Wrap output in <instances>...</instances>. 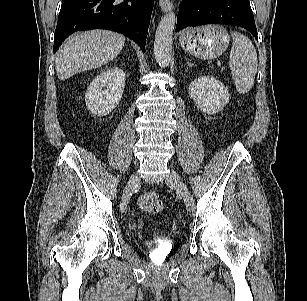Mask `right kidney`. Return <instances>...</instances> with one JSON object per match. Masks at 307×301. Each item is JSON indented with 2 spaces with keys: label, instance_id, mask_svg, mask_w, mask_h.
<instances>
[{
  "label": "right kidney",
  "instance_id": "1",
  "mask_svg": "<svg viewBox=\"0 0 307 301\" xmlns=\"http://www.w3.org/2000/svg\"><path fill=\"white\" fill-rule=\"evenodd\" d=\"M125 85V73L114 67L100 73L85 94L88 109L97 116L109 114L120 102Z\"/></svg>",
  "mask_w": 307,
  "mask_h": 301
}]
</instances>
